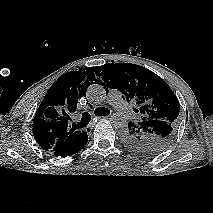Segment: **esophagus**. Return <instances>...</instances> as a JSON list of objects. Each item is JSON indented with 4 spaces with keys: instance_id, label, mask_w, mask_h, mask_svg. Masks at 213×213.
Instances as JSON below:
<instances>
[{
    "instance_id": "esophagus-1",
    "label": "esophagus",
    "mask_w": 213,
    "mask_h": 213,
    "mask_svg": "<svg viewBox=\"0 0 213 213\" xmlns=\"http://www.w3.org/2000/svg\"><path fill=\"white\" fill-rule=\"evenodd\" d=\"M104 118V116H96L94 119L99 120ZM94 127V121L87 127V130H91Z\"/></svg>"
}]
</instances>
